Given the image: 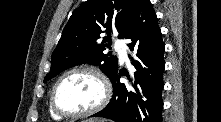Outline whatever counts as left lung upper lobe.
<instances>
[{"instance_id": "1", "label": "left lung upper lobe", "mask_w": 221, "mask_h": 122, "mask_svg": "<svg viewBox=\"0 0 221 122\" xmlns=\"http://www.w3.org/2000/svg\"><path fill=\"white\" fill-rule=\"evenodd\" d=\"M139 0H87L75 9L51 57V70L44 82L60 72L84 63L99 65L110 79L118 71L117 57L104 54L111 43L110 35L119 32L125 38L133 21ZM106 32L100 43V34Z\"/></svg>"}]
</instances>
